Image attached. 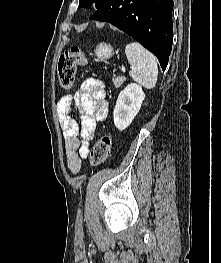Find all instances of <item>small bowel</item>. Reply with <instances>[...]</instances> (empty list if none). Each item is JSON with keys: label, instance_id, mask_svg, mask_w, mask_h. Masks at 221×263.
Returning <instances> with one entry per match:
<instances>
[{"label": "small bowel", "instance_id": "1", "mask_svg": "<svg viewBox=\"0 0 221 263\" xmlns=\"http://www.w3.org/2000/svg\"><path fill=\"white\" fill-rule=\"evenodd\" d=\"M73 107L79 113V123L72 115ZM107 113L104 85L96 79H86L74 94L65 95L58 101L57 114L65 141L67 168L71 173L80 172L97 124L106 118Z\"/></svg>", "mask_w": 221, "mask_h": 263}]
</instances>
